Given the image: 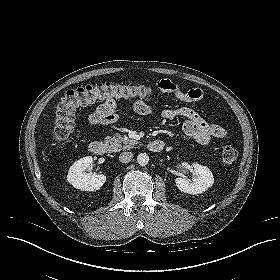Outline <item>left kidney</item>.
Segmentation results:
<instances>
[{"label": "left kidney", "instance_id": "obj_1", "mask_svg": "<svg viewBox=\"0 0 280 280\" xmlns=\"http://www.w3.org/2000/svg\"><path fill=\"white\" fill-rule=\"evenodd\" d=\"M196 175L192 181L184 178H176L175 183L181 192L188 194H200L210 188L214 183L213 174L210 169L199 163L193 165Z\"/></svg>", "mask_w": 280, "mask_h": 280}]
</instances>
